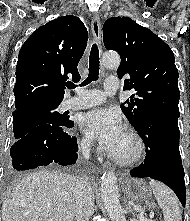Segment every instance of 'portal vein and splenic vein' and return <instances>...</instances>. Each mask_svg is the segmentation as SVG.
<instances>
[{
  "label": "portal vein and splenic vein",
  "instance_id": "portal-vein-and-splenic-vein-1",
  "mask_svg": "<svg viewBox=\"0 0 190 221\" xmlns=\"http://www.w3.org/2000/svg\"><path fill=\"white\" fill-rule=\"evenodd\" d=\"M133 209H134L135 211L142 212V208L139 207V206H133ZM141 214H142V213H141ZM141 220H142V221H152V220L145 219L143 216L141 217Z\"/></svg>",
  "mask_w": 190,
  "mask_h": 221
}]
</instances>
